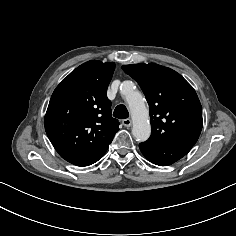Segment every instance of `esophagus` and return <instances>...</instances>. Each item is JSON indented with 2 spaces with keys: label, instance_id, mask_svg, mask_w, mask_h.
Segmentation results:
<instances>
[{
  "label": "esophagus",
  "instance_id": "esophagus-1",
  "mask_svg": "<svg viewBox=\"0 0 236 236\" xmlns=\"http://www.w3.org/2000/svg\"><path fill=\"white\" fill-rule=\"evenodd\" d=\"M122 124L125 126V127H130L132 125V120L131 119H124L122 121Z\"/></svg>",
  "mask_w": 236,
  "mask_h": 236
}]
</instances>
